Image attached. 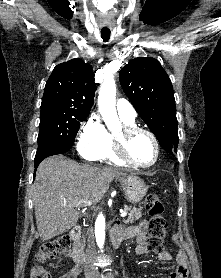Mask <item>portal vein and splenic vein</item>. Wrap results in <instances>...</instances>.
<instances>
[{"label":"portal vein and splenic vein","mask_w":221,"mask_h":278,"mask_svg":"<svg viewBox=\"0 0 221 278\" xmlns=\"http://www.w3.org/2000/svg\"><path fill=\"white\" fill-rule=\"evenodd\" d=\"M93 203L90 200H84L79 202L78 204H75V207H78L80 205H84V206H91ZM127 215V211H120V216L121 217H125Z\"/></svg>","instance_id":"obj_1"}]
</instances>
